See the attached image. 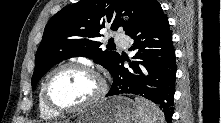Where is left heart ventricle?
<instances>
[{
    "instance_id": "1",
    "label": "left heart ventricle",
    "mask_w": 221,
    "mask_h": 123,
    "mask_svg": "<svg viewBox=\"0 0 221 123\" xmlns=\"http://www.w3.org/2000/svg\"><path fill=\"white\" fill-rule=\"evenodd\" d=\"M98 79L79 68L57 72L49 84L51 99L60 106H73L93 98L99 90Z\"/></svg>"
}]
</instances>
